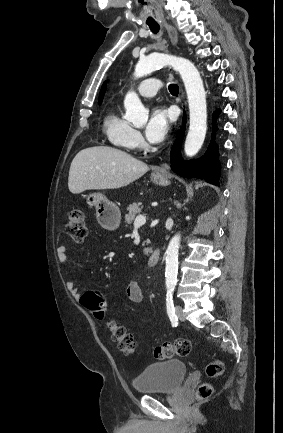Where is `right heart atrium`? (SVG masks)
Here are the masks:
<instances>
[{"mask_svg": "<svg viewBox=\"0 0 283 433\" xmlns=\"http://www.w3.org/2000/svg\"><path fill=\"white\" fill-rule=\"evenodd\" d=\"M143 140L140 132L136 129H133L132 132L129 134V136L126 139L125 144L126 145H142Z\"/></svg>", "mask_w": 283, "mask_h": 433, "instance_id": "1", "label": "right heart atrium"}]
</instances>
